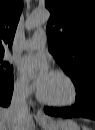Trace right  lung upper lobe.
I'll use <instances>...</instances> for the list:
<instances>
[{"mask_svg": "<svg viewBox=\"0 0 95 130\" xmlns=\"http://www.w3.org/2000/svg\"><path fill=\"white\" fill-rule=\"evenodd\" d=\"M21 9V0H0V56L4 55V45L12 46Z\"/></svg>", "mask_w": 95, "mask_h": 130, "instance_id": "1", "label": "right lung upper lobe"}]
</instances>
